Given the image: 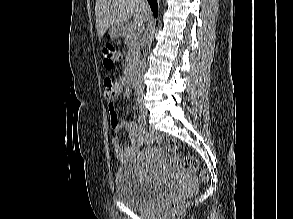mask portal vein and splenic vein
I'll list each match as a JSON object with an SVG mask.
<instances>
[{"mask_svg": "<svg viewBox=\"0 0 293 219\" xmlns=\"http://www.w3.org/2000/svg\"><path fill=\"white\" fill-rule=\"evenodd\" d=\"M133 27L136 28V25L134 24Z\"/></svg>", "mask_w": 293, "mask_h": 219, "instance_id": "1", "label": "portal vein and splenic vein"}]
</instances>
